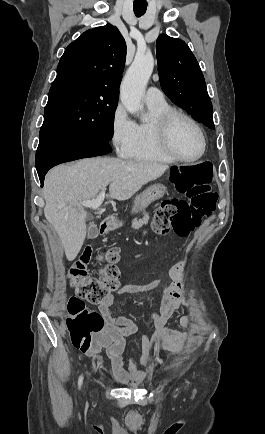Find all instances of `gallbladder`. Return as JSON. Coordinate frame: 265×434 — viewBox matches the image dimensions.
<instances>
[{
  "label": "gallbladder",
  "mask_w": 265,
  "mask_h": 434,
  "mask_svg": "<svg viewBox=\"0 0 265 434\" xmlns=\"http://www.w3.org/2000/svg\"><path fill=\"white\" fill-rule=\"evenodd\" d=\"M89 218H91V220H92V218H93L92 214H87V220H89ZM89 229H90V231L88 233V238H91V239L97 238V236H98L97 224H95V223L90 224Z\"/></svg>",
  "instance_id": "obj_1"
}]
</instances>
